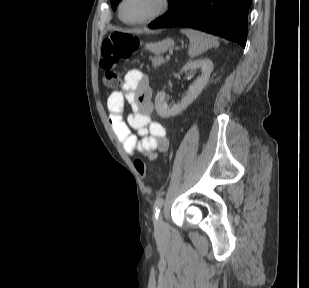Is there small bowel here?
Instances as JSON below:
<instances>
[{
    "label": "small bowel",
    "instance_id": "small-bowel-1",
    "mask_svg": "<svg viewBox=\"0 0 309 288\" xmlns=\"http://www.w3.org/2000/svg\"><path fill=\"white\" fill-rule=\"evenodd\" d=\"M129 104L131 114L124 118V106ZM109 122L125 152L131 156L144 154L155 158L170 148L166 130L151 119L154 109L147 77L137 69H130L124 76L122 88L112 92L107 100ZM132 130H136L134 134Z\"/></svg>",
    "mask_w": 309,
    "mask_h": 288
}]
</instances>
